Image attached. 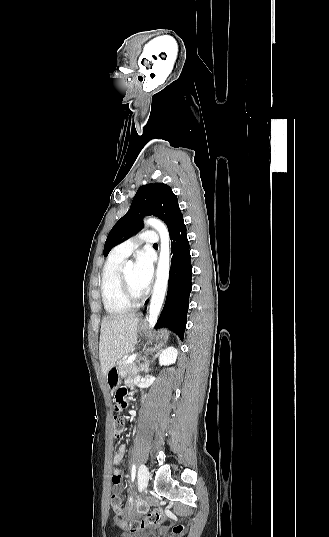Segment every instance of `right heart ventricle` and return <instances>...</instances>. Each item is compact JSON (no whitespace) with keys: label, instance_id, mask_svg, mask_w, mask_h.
I'll use <instances>...</instances> for the list:
<instances>
[{"label":"right heart ventricle","instance_id":"e07e8e85","mask_svg":"<svg viewBox=\"0 0 329 537\" xmlns=\"http://www.w3.org/2000/svg\"><path fill=\"white\" fill-rule=\"evenodd\" d=\"M123 261L124 258L112 253L102 270L101 296L109 314H122L132 308V304L124 299L119 284V271Z\"/></svg>","mask_w":329,"mask_h":537}]
</instances>
